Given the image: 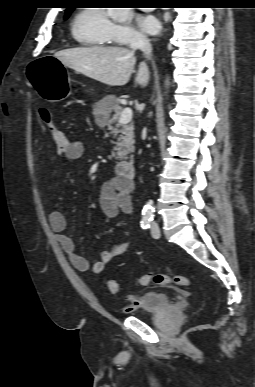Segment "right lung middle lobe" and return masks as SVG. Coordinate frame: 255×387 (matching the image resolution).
<instances>
[{
	"label": "right lung middle lobe",
	"mask_w": 255,
	"mask_h": 387,
	"mask_svg": "<svg viewBox=\"0 0 255 387\" xmlns=\"http://www.w3.org/2000/svg\"><path fill=\"white\" fill-rule=\"evenodd\" d=\"M73 9H68L66 11V15H65V19L68 18V16L70 15V13L72 12Z\"/></svg>",
	"instance_id": "right-lung-middle-lobe-1"
}]
</instances>
